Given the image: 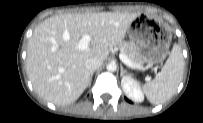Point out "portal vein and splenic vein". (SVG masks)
<instances>
[{"instance_id":"portal-vein-and-splenic-vein-1","label":"portal vein and splenic vein","mask_w":203,"mask_h":123,"mask_svg":"<svg viewBox=\"0 0 203 123\" xmlns=\"http://www.w3.org/2000/svg\"><path fill=\"white\" fill-rule=\"evenodd\" d=\"M92 38L90 35L85 34L79 41L77 47L79 50H86L88 48L89 43L91 42ZM120 60L127 66L135 69H141L140 65L133 63L125 54H119ZM149 79V77L147 78Z\"/></svg>"}]
</instances>
